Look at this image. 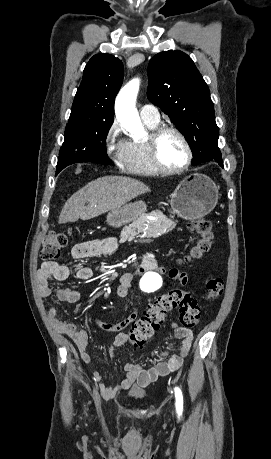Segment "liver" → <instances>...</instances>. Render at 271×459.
Returning a JSON list of instances; mask_svg holds the SVG:
<instances>
[{"label": "liver", "mask_w": 271, "mask_h": 459, "mask_svg": "<svg viewBox=\"0 0 271 459\" xmlns=\"http://www.w3.org/2000/svg\"><path fill=\"white\" fill-rule=\"evenodd\" d=\"M146 192H150V188L133 178H126V176L98 178L86 184L67 200L59 216V224L91 220L105 212L119 210L121 206ZM86 202L88 206H85Z\"/></svg>", "instance_id": "1"}]
</instances>
